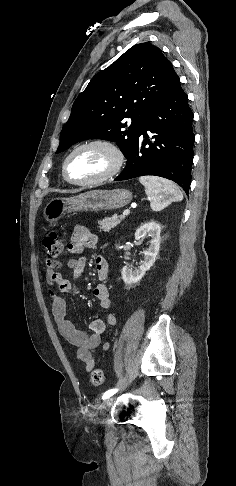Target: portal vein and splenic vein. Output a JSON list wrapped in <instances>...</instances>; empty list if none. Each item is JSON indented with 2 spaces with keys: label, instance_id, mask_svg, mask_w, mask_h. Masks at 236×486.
Masks as SVG:
<instances>
[{
  "label": "portal vein and splenic vein",
  "instance_id": "obj_1",
  "mask_svg": "<svg viewBox=\"0 0 236 486\" xmlns=\"http://www.w3.org/2000/svg\"><path fill=\"white\" fill-rule=\"evenodd\" d=\"M129 213H130V210L129 209L124 210L123 216L129 215Z\"/></svg>",
  "mask_w": 236,
  "mask_h": 486
}]
</instances>
